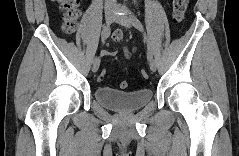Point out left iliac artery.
I'll return each instance as SVG.
<instances>
[{
  "instance_id": "obj_1",
  "label": "left iliac artery",
  "mask_w": 239,
  "mask_h": 156,
  "mask_svg": "<svg viewBox=\"0 0 239 156\" xmlns=\"http://www.w3.org/2000/svg\"><path fill=\"white\" fill-rule=\"evenodd\" d=\"M130 19H131L132 24L134 25V27L143 32L144 29H143V25L140 22V20L135 15H131ZM145 40L147 41V49H148L147 59H148V61H152L153 60L152 48H151V45L148 42V39H147L146 36H145Z\"/></svg>"
}]
</instances>
